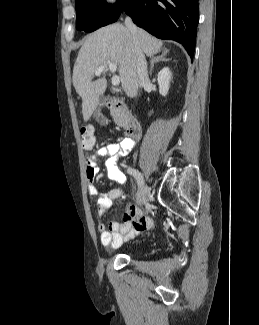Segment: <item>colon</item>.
Wrapping results in <instances>:
<instances>
[{
    "mask_svg": "<svg viewBox=\"0 0 259 325\" xmlns=\"http://www.w3.org/2000/svg\"><path fill=\"white\" fill-rule=\"evenodd\" d=\"M80 139L83 150L90 151L95 144L93 127L90 125L83 126L80 129Z\"/></svg>",
    "mask_w": 259,
    "mask_h": 325,
    "instance_id": "obj_1",
    "label": "colon"
}]
</instances>
